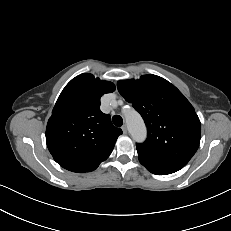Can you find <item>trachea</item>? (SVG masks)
<instances>
[{"label": "trachea", "mask_w": 231, "mask_h": 231, "mask_svg": "<svg viewBox=\"0 0 231 231\" xmlns=\"http://www.w3.org/2000/svg\"><path fill=\"white\" fill-rule=\"evenodd\" d=\"M112 122H113V124H114L115 126L121 127L122 124H123V119H122V117H121L120 115H114V116L112 117Z\"/></svg>", "instance_id": "3493384b"}]
</instances>
